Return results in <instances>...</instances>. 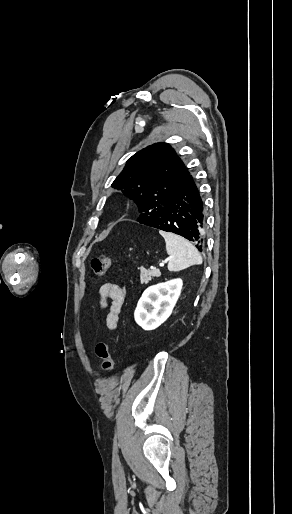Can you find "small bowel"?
<instances>
[{
  "label": "small bowel",
  "instance_id": "obj_1",
  "mask_svg": "<svg viewBox=\"0 0 292 514\" xmlns=\"http://www.w3.org/2000/svg\"><path fill=\"white\" fill-rule=\"evenodd\" d=\"M100 307L106 310L105 322L109 330H115L125 302V288L119 284L104 283L99 290Z\"/></svg>",
  "mask_w": 292,
  "mask_h": 514
}]
</instances>
